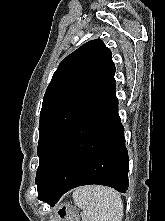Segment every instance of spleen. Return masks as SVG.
Returning <instances> with one entry per match:
<instances>
[{
  "instance_id": "obj_1",
  "label": "spleen",
  "mask_w": 165,
  "mask_h": 221,
  "mask_svg": "<svg viewBox=\"0 0 165 221\" xmlns=\"http://www.w3.org/2000/svg\"><path fill=\"white\" fill-rule=\"evenodd\" d=\"M73 199L82 210V221H122L123 203L112 188L83 186L74 191Z\"/></svg>"
}]
</instances>
